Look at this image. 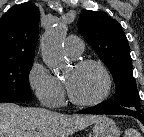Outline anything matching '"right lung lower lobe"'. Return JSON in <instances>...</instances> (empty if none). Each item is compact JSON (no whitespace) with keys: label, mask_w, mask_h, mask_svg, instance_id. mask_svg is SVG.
<instances>
[{"label":"right lung lower lobe","mask_w":144,"mask_h":137,"mask_svg":"<svg viewBox=\"0 0 144 137\" xmlns=\"http://www.w3.org/2000/svg\"><path fill=\"white\" fill-rule=\"evenodd\" d=\"M0 102H14L12 100H0Z\"/></svg>","instance_id":"obj_1"}]
</instances>
